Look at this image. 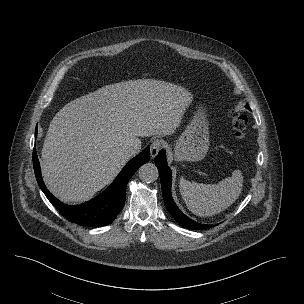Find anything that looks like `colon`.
<instances>
[{
	"label": "colon",
	"instance_id": "1",
	"mask_svg": "<svg viewBox=\"0 0 304 304\" xmlns=\"http://www.w3.org/2000/svg\"><path fill=\"white\" fill-rule=\"evenodd\" d=\"M230 125L234 137L241 140L245 137L247 129V118L246 116L232 112L230 114Z\"/></svg>",
	"mask_w": 304,
	"mask_h": 304
}]
</instances>
